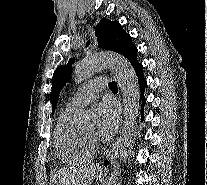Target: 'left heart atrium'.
Segmentation results:
<instances>
[{"label": "left heart atrium", "instance_id": "1", "mask_svg": "<svg viewBox=\"0 0 207 185\" xmlns=\"http://www.w3.org/2000/svg\"><path fill=\"white\" fill-rule=\"evenodd\" d=\"M119 107L110 99L103 100L96 107L97 132L103 138L112 137L119 126Z\"/></svg>", "mask_w": 207, "mask_h": 185}]
</instances>
